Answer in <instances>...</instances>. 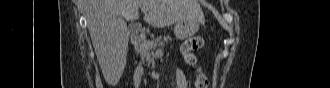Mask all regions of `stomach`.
Returning a JSON list of instances; mask_svg holds the SVG:
<instances>
[{
	"label": "stomach",
	"mask_w": 330,
	"mask_h": 88,
	"mask_svg": "<svg viewBox=\"0 0 330 88\" xmlns=\"http://www.w3.org/2000/svg\"><path fill=\"white\" fill-rule=\"evenodd\" d=\"M201 22L198 19L181 20L176 24L174 34L178 39L189 38L198 31Z\"/></svg>",
	"instance_id": "0dacf381"
}]
</instances>
